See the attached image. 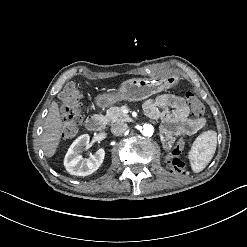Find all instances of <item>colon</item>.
Masks as SVG:
<instances>
[{
	"instance_id": "colon-1",
	"label": "colon",
	"mask_w": 247,
	"mask_h": 247,
	"mask_svg": "<svg viewBox=\"0 0 247 247\" xmlns=\"http://www.w3.org/2000/svg\"><path fill=\"white\" fill-rule=\"evenodd\" d=\"M186 98L193 107L194 115L197 117L203 114V104L192 93L188 92ZM60 107L62 112L63 136L65 139L75 137L78 127L83 118V98L78 87L69 83L60 94ZM181 152V143H176L173 153L165 162L167 168L175 174L185 175L187 173L186 165L183 160L177 158Z\"/></svg>"
}]
</instances>
